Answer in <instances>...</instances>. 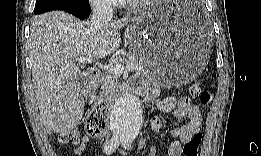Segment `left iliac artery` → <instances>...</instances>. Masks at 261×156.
Here are the masks:
<instances>
[{"mask_svg":"<svg viewBox=\"0 0 261 156\" xmlns=\"http://www.w3.org/2000/svg\"><path fill=\"white\" fill-rule=\"evenodd\" d=\"M122 144H123V146H124L125 148H127V147H129L130 141H128V140H123V141H122Z\"/></svg>","mask_w":261,"mask_h":156,"instance_id":"obj_1","label":"left iliac artery"}]
</instances>
